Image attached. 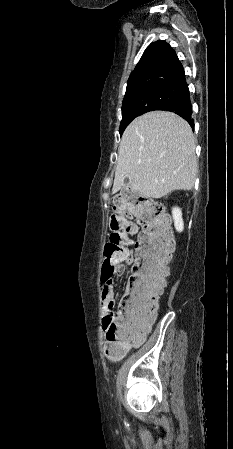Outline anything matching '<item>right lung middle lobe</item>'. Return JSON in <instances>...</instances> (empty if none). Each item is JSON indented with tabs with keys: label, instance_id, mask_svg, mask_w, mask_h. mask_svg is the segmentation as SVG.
<instances>
[{
	"label": "right lung middle lobe",
	"instance_id": "dd1d6c3e",
	"mask_svg": "<svg viewBox=\"0 0 233 449\" xmlns=\"http://www.w3.org/2000/svg\"><path fill=\"white\" fill-rule=\"evenodd\" d=\"M182 97L183 91L181 89L170 87H153L124 96L120 134L137 116L149 111L159 110L164 105Z\"/></svg>",
	"mask_w": 233,
	"mask_h": 449
}]
</instances>
